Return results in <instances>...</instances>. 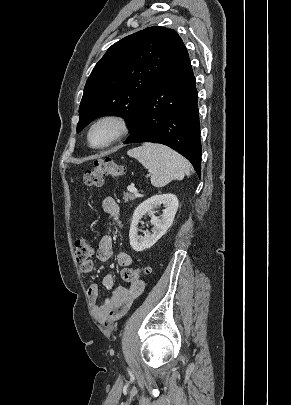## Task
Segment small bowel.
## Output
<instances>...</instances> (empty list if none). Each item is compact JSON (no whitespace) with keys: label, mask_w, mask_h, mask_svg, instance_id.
<instances>
[{"label":"small bowel","mask_w":291,"mask_h":405,"mask_svg":"<svg viewBox=\"0 0 291 405\" xmlns=\"http://www.w3.org/2000/svg\"><path fill=\"white\" fill-rule=\"evenodd\" d=\"M102 210L114 221L119 223V206L112 197H106L102 201ZM97 258L100 261H107L113 256V239L110 235L101 237L98 243ZM116 261L120 267H128L132 264V257L129 253L120 252ZM94 269L92 260H87L80 264V271L90 273ZM103 285L107 290L112 291V295L103 304L98 303V286L91 284L87 290V295L91 304L94 319L105 327H111L117 320L121 319L130 309L134 300L144 291L145 284L138 280L129 287L116 286L115 278L108 274L103 279Z\"/></svg>","instance_id":"small-bowel-1"}]
</instances>
